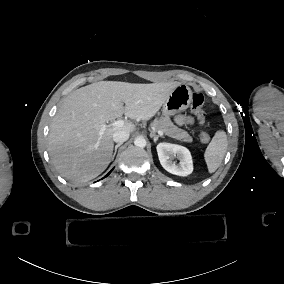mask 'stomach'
<instances>
[{
	"label": "stomach",
	"mask_w": 284,
	"mask_h": 284,
	"mask_svg": "<svg viewBox=\"0 0 284 284\" xmlns=\"http://www.w3.org/2000/svg\"><path fill=\"white\" fill-rule=\"evenodd\" d=\"M192 101V91L184 83L178 85L163 103L162 111L165 116L174 115L189 108Z\"/></svg>",
	"instance_id": "obj_1"
}]
</instances>
